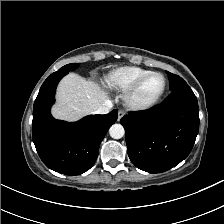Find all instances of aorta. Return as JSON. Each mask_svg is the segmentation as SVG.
Returning <instances> with one entry per match:
<instances>
[{
  "label": "aorta",
  "mask_w": 224,
  "mask_h": 224,
  "mask_svg": "<svg viewBox=\"0 0 224 224\" xmlns=\"http://www.w3.org/2000/svg\"><path fill=\"white\" fill-rule=\"evenodd\" d=\"M109 134L113 139H120L125 134L124 127L121 124H113L109 129Z\"/></svg>",
  "instance_id": "aorta-1"
}]
</instances>
